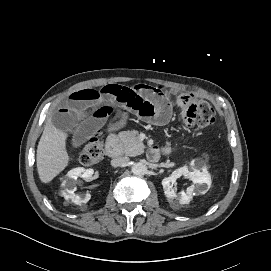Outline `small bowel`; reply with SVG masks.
Segmentation results:
<instances>
[{
  "label": "small bowel",
  "instance_id": "small-bowel-1",
  "mask_svg": "<svg viewBox=\"0 0 271 271\" xmlns=\"http://www.w3.org/2000/svg\"><path fill=\"white\" fill-rule=\"evenodd\" d=\"M115 113L119 119L109 130L125 126L129 114L164 125L170 119L171 105L166 91L145 84L134 87L109 84L99 89H81L70 94L67 102L54 113L48 131L71 136L72 147H78L90 134L105 126ZM153 152L158 154L157 149L152 150V155Z\"/></svg>",
  "mask_w": 271,
  "mask_h": 271
}]
</instances>
